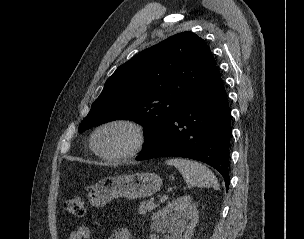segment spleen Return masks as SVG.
Wrapping results in <instances>:
<instances>
[{
	"mask_svg": "<svg viewBox=\"0 0 304 239\" xmlns=\"http://www.w3.org/2000/svg\"><path fill=\"white\" fill-rule=\"evenodd\" d=\"M167 165L175 166L189 186L212 187L219 189V183L213 172L202 163L183 158H172Z\"/></svg>",
	"mask_w": 304,
	"mask_h": 239,
	"instance_id": "1",
	"label": "spleen"
}]
</instances>
